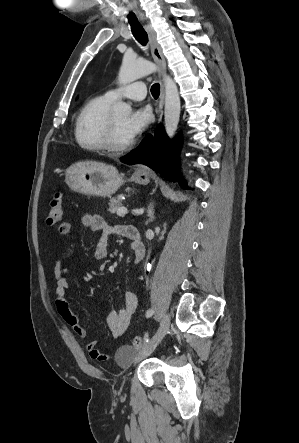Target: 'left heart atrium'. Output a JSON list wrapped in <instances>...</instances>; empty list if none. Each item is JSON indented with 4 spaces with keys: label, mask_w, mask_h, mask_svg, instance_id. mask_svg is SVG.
Listing matches in <instances>:
<instances>
[{
    "label": "left heart atrium",
    "mask_w": 299,
    "mask_h": 443,
    "mask_svg": "<svg viewBox=\"0 0 299 443\" xmlns=\"http://www.w3.org/2000/svg\"><path fill=\"white\" fill-rule=\"evenodd\" d=\"M150 120L151 114L147 108L134 109L124 121L123 131L132 140L146 129Z\"/></svg>",
    "instance_id": "1"
}]
</instances>
